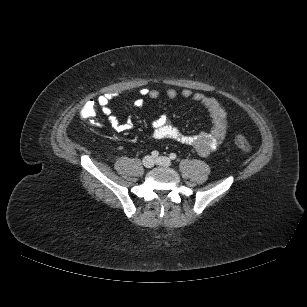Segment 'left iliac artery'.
I'll list each match as a JSON object with an SVG mask.
<instances>
[{"label": "left iliac artery", "mask_w": 307, "mask_h": 307, "mask_svg": "<svg viewBox=\"0 0 307 307\" xmlns=\"http://www.w3.org/2000/svg\"><path fill=\"white\" fill-rule=\"evenodd\" d=\"M170 159L176 160L177 159V155L175 153H171L170 154Z\"/></svg>", "instance_id": "left-iliac-artery-1"}]
</instances>
